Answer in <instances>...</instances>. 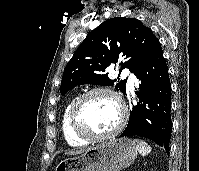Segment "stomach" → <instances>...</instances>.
Segmentation results:
<instances>
[{
  "mask_svg": "<svg viewBox=\"0 0 199 171\" xmlns=\"http://www.w3.org/2000/svg\"><path fill=\"white\" fill-rule=\"evenodd\" d=\"M137 148L129 138L110 139L80 156L62 160L55 171H120L130 166Z\"/></svg>",
  "mask_w": 199,
  "mask_h": 171,
  "instance_id": "obj_1",
  "label": "stomach"
}]
</instances>
